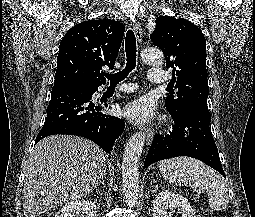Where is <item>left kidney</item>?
<instances>
[{
    "mask_svg": "<svg viewBox=\"0 0 255 217\" xmlns=\"http://www.w3.org/2000/svg\"><path fill=\"white\" fill-rule=\"evenodd\" d=\"M177 211L182 217H195L194 210L186 198L169 190L161 191L153 202V217H172Z\"/></svg>",
    "mask_w": 255,
    "mask_h": 217,
    "instance_id": "left-kidney-1",
    "label": "left kidney"
}]
</instances>
